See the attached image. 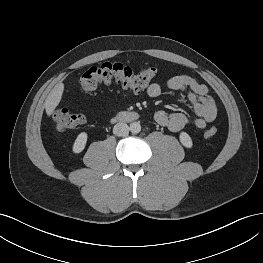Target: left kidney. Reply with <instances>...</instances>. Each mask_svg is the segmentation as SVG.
I'll return each instance as SVG.
<instances>
[{"label":"left kidney","instance_id":"1","mask_svg":"<svg viewBox=\"0 0 263 263\" xmlns=\"http://www.w3.org/2000/svg\"><path fill=\"white\" fill-rule=\"evenodd\" d=\"M179 139L181 144L186 148H191L193 146V142L191 137L186 132H181L179 135Z\"/></svg>","mask_w":263,"mask_h":263}]
</instances>
